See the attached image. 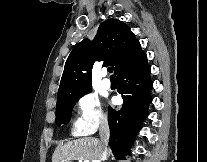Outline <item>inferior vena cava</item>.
<instances>
[{
    "label": "inferior vena cava",
    "mask_w": 207,
    "mask_h": 162,
    "mask_svg": "<svg viewBox=\"0 0 207 162\" xmlns=\"http://www.w3.org/2000/svg\"><path fill=\"white\" fill-rule=\"evenodd\" d=\"M99 135H100V141L104 144L105 149L102 152L101 159L98 162H101V160H106L107 159V149L106 146L109 142V137H110V129L108 125L107 119H102L101 125H100V130H99Z\"/></svg>",
    "instance_id": "inferior-vena-cava-1"
}]
</instances>
